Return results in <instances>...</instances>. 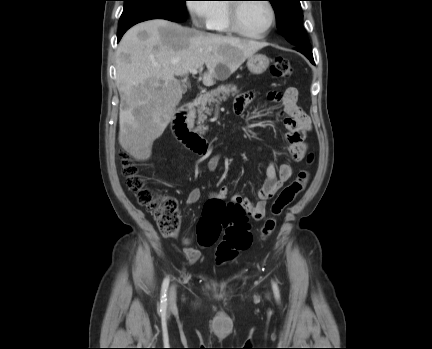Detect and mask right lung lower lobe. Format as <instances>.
<instances>
[{"label":"right lung lower lobe","instance_id":"obj_1","mask_svg":"<svg viewBox=\"0 0 432 349\" xmlns=\"http://www.w3.org/2000/svg\"><path fill=\"white\" fill-rule=\"evenodd\" d=\"M140 22H142V21H140ZM136 23H139V22H136ZM136 23H133V24H130V25H127V26H123V27H120V29H119V31H118V33H117V40H118V42L120 41V39H121V37L123 36V34L131 27V26H133V25H135Z\"/></svg>","mask_w":432,"mask_h":349}]
</instances>
